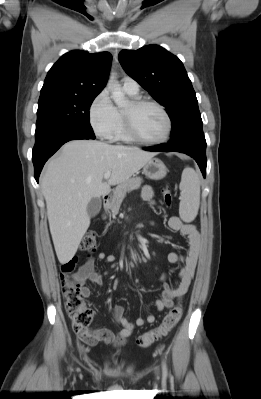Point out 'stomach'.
<instances>
[{
	"instance_id": "stomach-1",
	"label": "stomach",
	"mask_w": 261,
	"mask_h": 399,
	"mask_svg": "<svg viewBox=\"0 0 261 399\" xmlns=\"http://www.w3.org/2000/svg\"><path fill=\"white\" fill-rule=\"evenodd\" d=\"M143 174L149 179L160 180L166 176L167 168L160 159L152 158L144 165Z\"/></svg>"
}]
</instances>
